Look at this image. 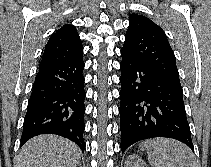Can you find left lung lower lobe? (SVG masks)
Masks as SVG:
<instances>
[{
    "instance_id": "left-lung-lower-lobe-1",
    "label": "left lung lower lobe",
    "mask_w": 211,
    "mask_h": 167,
    "mask_svg": "<svg viewBox=\"0 0 211 167\" xmlns=\"http://www.w3.org/2000/svg\"><path fill=\"white\" fill-rule=\"evenodd\" d=\"M121 56L122 153L135 142L153 137L173 138L194 150L182 87L122 51Z\"/></svg>"
}]
</instances>
